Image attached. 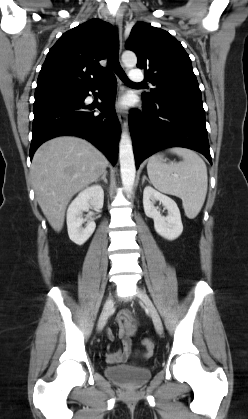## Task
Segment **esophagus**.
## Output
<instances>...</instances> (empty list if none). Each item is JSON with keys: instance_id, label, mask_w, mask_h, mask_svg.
Returning a JSON list of instances; mask_svg holds the SVG:
<instances>
[{"instance_id": "34e87169", "label": "esophagus", "mask_w": 248, "mask_h": 419, "mask_svg": "<svg viewBox=\"0 0 248 419\" xmlns=\"http://www.w3.org/2000/svg\"><path fill=\"white\" fill-rule=\"evenodd\" d=\"M114 21L116 23L117 26V30H118V40L120 43V48L122 46V22H123V14L121 11H117L114 15ZM122 95V87L119 84L118 85V91H117V97H116V112L118 115V118L120 120L121 123L126 124L127 122V116L126 113L124 112V110L121 108L120 106V97Z\"/></svg>"}]
</instances>
